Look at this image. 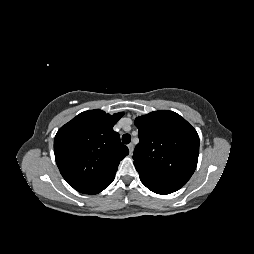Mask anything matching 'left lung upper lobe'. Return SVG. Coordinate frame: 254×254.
Returning <instances> with one entry per match:
<instances>
[{"label":"left lung upper lobe","mask_w":254,"mask_h":254,"mask_svg":"<svg viewBox=\"0 0 254 254\" xmlns=\"http://www.w3.org/2000/svg\"><path fill=\"white\" fill-rule=\"evenodd\" d=\"M139 143L134 165L139 174L180 185L194 173L199 155V136L179 114L159 110L137 117Z\"/></svg>","instance_id":"obj_1"}]
</instances>
